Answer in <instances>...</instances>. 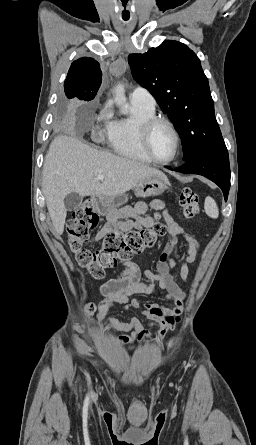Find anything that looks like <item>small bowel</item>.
Returning <instances> with one entry per match:
<instances>
[{"label":"small bowel","mask_w":256,"mask_h":445,"mask_svg":"<svg viewBox=\"0 0 256 445\" xmlns=\"http://www.w3.org/2000/svg\"><path fill=\"white\" fill-rule=\"evenodd\" d=\"M148 208L163 211L169 235L156 264L157 272L147 271L141 277L138 266L129 260L123 262L125 270L121 275L106 281L101 286V292L105 299L101 302L98 319L108 322L114 331L130 333V335L119 337V342L123 345L141 342L149 338L150 334L137 318H132L129 321L106 318V313L110 306L112 304H120L128 312L140 311L149 320L150 326H159V336L162 337L167 329L175 326L183 310V302L186 299V293L178 286L172 269L175 265L181 264L180 277L187 282L189 279V266L195 262L199 253L197 239L187 229L175 223L168 216L165 204L161 200H153L149 204L138 203L131 219L105 224L95 235L94 241L99 242L106 234L115 230L128 231L135 225L139 227L152 226L154 224L152 217H139ZM180 238L188 244V249L179 256H173ZM134 295H163L167 300L174 303V307L169 308L151 302L141 305L137 299H131Z\"/></svg>","instance_id":"1"}]
</instances>
